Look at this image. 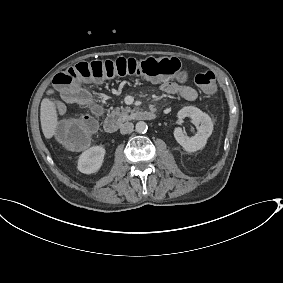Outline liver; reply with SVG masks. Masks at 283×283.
Returning <instances> with one entry per match:
<instances>
[{"instance_id":"obj_1","label":"liver","mask_w":283,"mask_h":283,"mask_svg":"<svg viewBox=\"0 0 283 283\" xmlns=\"http://www.w3.org/2000/svg\"><path fill=\"white\" fill-rule=\"evenodd\" d=\"M40 120L44 137L52 139L57 132L59 114L55 101L48 96L41 101Z\"/></svg>"}]
</instances>
